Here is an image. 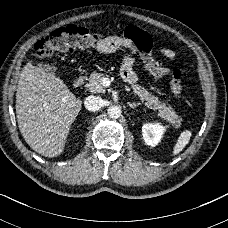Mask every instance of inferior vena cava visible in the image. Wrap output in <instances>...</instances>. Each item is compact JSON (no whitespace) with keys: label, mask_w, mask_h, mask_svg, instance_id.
<instances>
[{"label":"inferior vena cava","mask_w":228,"mask_h":228,"mask_svg":"<svg viewBox=\"0 0 228 228\" xmlns=\"http://www.w3.org/2000/svg\"><path fill=\"white\" fill-rule=\"evenodd\" d=\"M102 105H103V100L99 96L91 95L86 97L84 101L85 108L92 112L99 110L102 107Z\"/></svg>","instance_id":"1"}]
</instances>
